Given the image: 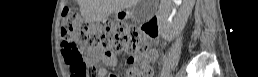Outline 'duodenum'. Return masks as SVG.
Masks as SVG:
<instances>
[{"mask_svg":"<svg viewBox=\"0 0 258 77\" xmlns=\"http://www.w3.org/2000/svg\"><path fill=\"white\" fill-rule=\"evenodd\" d=\"M146 30L150 33H152V35L154 37L158 36L159 34V26H158V22L157 19H151L146 26Z\"/></svg>","mask_w":258,"mask_h":77,"instance_id":"1","label":"duodenum"}]
</instances>
